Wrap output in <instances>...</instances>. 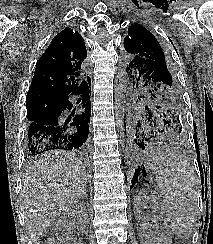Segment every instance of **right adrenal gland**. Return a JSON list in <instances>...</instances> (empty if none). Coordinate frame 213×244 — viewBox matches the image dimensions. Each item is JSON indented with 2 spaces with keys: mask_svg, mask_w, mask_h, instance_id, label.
<instances>
[{
  "mask_svg": "<svg viewBox=\"0 0 213 244\" xmlns=\"http://www.w3.org/2000/svg\"><path fill=\"white\" fill-rule=\"evenodd\" d=\"M83 197L88 198V195H87V187H86L85 190H84V194H83L82 198H83Z\"/></svg>",
  "mask_w": 213,
  "mask_h": 244,
  "instance_id": "1",
  "label": "right adrenal gland"
}]
</instances>
